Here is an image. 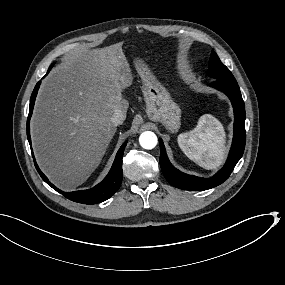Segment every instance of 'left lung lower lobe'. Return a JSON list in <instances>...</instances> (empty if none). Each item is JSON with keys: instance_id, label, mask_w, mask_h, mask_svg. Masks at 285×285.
<instances>
[{"instance_id": "0a47b994", "label": "left lung lower lobe", "mask_w": 285, "mask_h": 285, "mask_svg": "<svg viewBox=\"0 0 285 285\" xmlns=\"http://www.w3.org/2000/svg\"><path fill=\"white\" fill-rule=\"evenodd\" d=\"M210 86L224 92L231 100L234 108V136L231 150L224 167L211 178H200L185 174L176 169L168 160L165 147L161 139L160 144V166L167 181L174 187L201 191L216 187L230 176L237 162L241 159L246 141L245 133V107L239 86L235 81L214 80Z\"/></svg>"}]
</instances>
